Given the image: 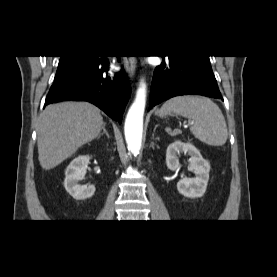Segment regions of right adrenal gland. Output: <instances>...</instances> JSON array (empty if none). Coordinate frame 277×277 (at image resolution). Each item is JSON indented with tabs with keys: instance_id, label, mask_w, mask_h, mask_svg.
<instances>
[{
	"instance_id": "right-adrenal-gland-1",
	"label": "right adrenal gland",
	"mask_w": 277,
	"mask_h": 277,
	"mask_svg": "<svg viewBox=\"0 0 277 277\" xmlns=\"http://www.w3.org/2000/svg\"><path fill=\"white\" fill-rule=\"evenodd\" d=\"M103 134H106V136L109 138V134L107 132V130L105 129V124L103 126V132L101 134H99L98 138H100L101 136H103Z\"/></svg>"
}]
</instances>
